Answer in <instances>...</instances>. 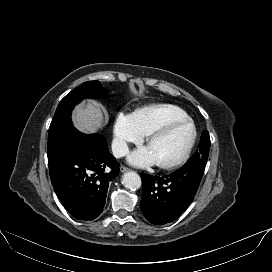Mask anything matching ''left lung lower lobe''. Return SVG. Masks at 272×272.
Listing matches in <instances>:
<instances>
[{
    "label": "left lung lower lobe",
    "instance_id": "0a47b994",
    "mask_svg": "<svg viewBox=\"0 0 272 272\" xmlns=\"http://www.w3.org/2000/svg\"><path fill=\"white\" fill-rule=\"evenodd\" d=\"M205 166L184 165L162 177L141 173L143 197L140 207L145 218L155 225L175 220L192 202Z\"/></svg>",
    "mask_w": 272,
    "mask_h": 272
}]
</instances>
